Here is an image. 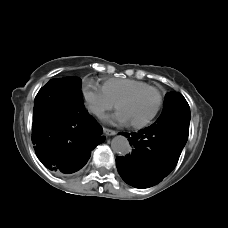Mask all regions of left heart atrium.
Here are the masks:
<instances>
[{
  "instance_id": "39dd6f15",
  "label": "left heart atrium",
  "mask_w": 228,
  "mask_h": 228,
  "mask_svg": "<svg viewBox=\"0 0 228 228\" xmlns=\"http://www.w3.org/2000/svg\"><path fill=\"white\" fill-rule=\"evenodd\" d=\"M117 119L122 122V123H127L129 120L127 119V117L124 115L123 112H119L117 115H116Z\"/></svg>"
}]
</instances>
